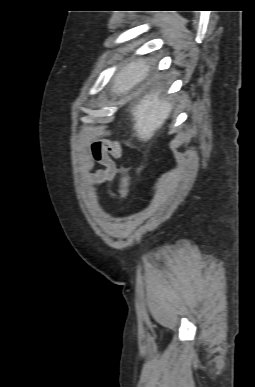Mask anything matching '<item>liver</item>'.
Instances as JSON below:
<instances>
[{
    "label": "liver",
    "instance_id": "liver-1",
    "mask_svg": "<svg viewBox=\"0 0 255 387\" xmlns=\"http://www.w3.org/2000/svg\"><path fill=\"white\" fill-rule=\"evenodd\" d=\"M149 74V65L145 59H136L127 63L114 77L111 92L117 96L126 95L135 85ZM161 89H155L145 95L137 105L131 108L133 130L140 141L147 142L162 127L170 116L172 104L161 96Z\"/></svg>",
    "mask_w": 255,
    "mask_h": 387
}]
</instances>
